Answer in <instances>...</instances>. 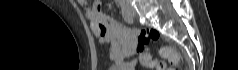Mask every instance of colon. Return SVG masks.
<instances>
[{"mask_svg": "<svg viewBox=\"0 0 238 70\" xmlns=\"http://www.w3.org/2000/svg\"><path fill=\"white\" fill-rule=\"evenodd\" d=\"M159 38V33L150 28H142L139 31L138 43L141 49L146 48L149 43L153 40H157ZM160 56L164 59H167L173 69L177 68L180 63V58L175 50L171 47L165 46L162 47L159 51ZM145 63L144 65L155 68L156 70H169V67H166V64L161 61H154L149 53H145Z\"/></svg>", "mask_w": 238, "mask_h": 70, "instance_id": "1", "label": "colon"}]
</instances>
